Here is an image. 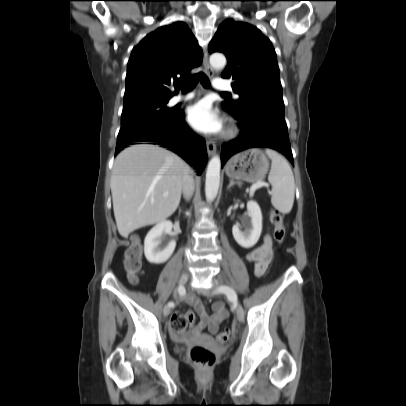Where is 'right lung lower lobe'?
<instances>
[{"label":"right lung lower lobe","mask_w":406,"mask_h":406,"mask_svg":"<svg viewBox=\"0 0 406 406\" xmlns=\"http://www.w3.org/2000/svg\"><path fill=\"white\" fill-rule=\"evenodd\" d=\"M137 142H150L173 151L196 167L198 174L207 162L206 142L192 133L181 110L175 111L170 121L158 127L118 136L115 153Z\"/></svg>","instance_id":"obj_1"}]
</instances>
